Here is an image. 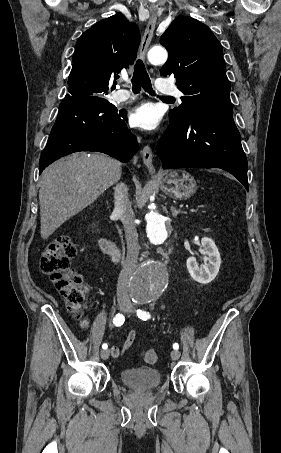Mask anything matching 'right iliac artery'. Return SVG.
<instances>
[{"label": "right iliac artery", "instance_id": "1", "mask_svg": "<svg viewBox=\"0 0 281 453\" xmlns=\"http://www.w3.org/2000/svg\"><path fill=\"white\" fill-rule=\"evenodd\" d=\"M124 321H125L124 316H123L122 314H119V313H118V314L115 316V318L113 319V323H114L116 326H121V325L124 323ZM107 347H108L107 344H103V345H102V348H103V349H107Z\"/></svg>", "mask_w": 281, "mask_h": 453}]
</instances>
